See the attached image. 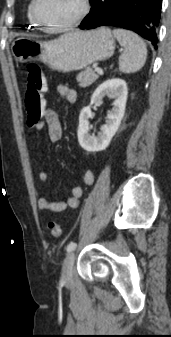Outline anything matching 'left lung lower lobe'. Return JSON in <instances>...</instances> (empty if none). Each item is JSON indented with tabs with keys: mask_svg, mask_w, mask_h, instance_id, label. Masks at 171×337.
Masks as SVG:
<instances>
[{
	"mask_svg": "<svg viewBox=\"0 0 171 337\" xmlns=\"http://www.w3.org/2000/svg\"><path fill=\"white\" fill-rule=\"evenodd\" d=\"M80 29L115 26L130 29L157 48L162 0H93Z\"/></svg>",
	"mask_w": 171,
	"mask_h": 337,
	"instance_id": "0a47b994",
	"label": "left lung lower lobe"
}]
</instances>
